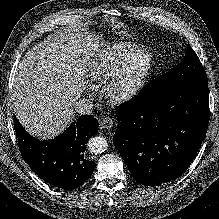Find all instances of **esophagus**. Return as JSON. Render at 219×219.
I'll use <instances>...</instances> for the list:
<instances>
[{
  "label": "esophagus",
  "mask_w": 219,
  "mask_h": 219,
  "mask_svg": "<svg viewBox=\"0 0 219 219\" xmlns=\"http://www.w3.org/2000/svg\"><path fill=\"white\" fill-rule=\"evenodd\" d=\"M100 126L104 129H111L114 126V120L110 116H105L100 119Z\"/></svg>",
  "instance_id": "34e87169"
}]
</instances>
